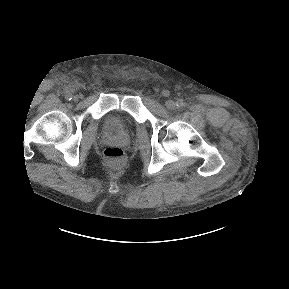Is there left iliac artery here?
I'll return each mask as SVG.
<instances>
[{
	"instance_id": "left-iliac-artery-1",
	"label": "left iliac artery",
	"mask_w": 289,
	"mask_h": 289,
	"mask_svg": "<svg viewBox=\"0 0 289 289\" xmlns=\"http://www.w3.org/2000/svg\"><path fill=\"white\" fill-rule=\"evenodd\" d=\"M183 101L182 100H178L177 102H176V106L177 107H181V106H183Z\"/></svg>"
}]
</instances>
